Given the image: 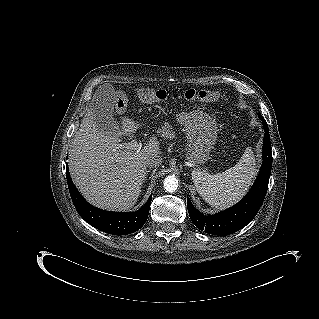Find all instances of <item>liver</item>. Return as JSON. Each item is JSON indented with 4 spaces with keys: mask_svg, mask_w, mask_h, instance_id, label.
I'll return each mask as SVG.
<instances>
[{
    "mask_svg": "<svg viewBox=\"0 0 319 319\" xmlns=\"http://www.w3.org/2000/svg\"><path fill=\"white\" fill-rule=\"evenodd\" d=\"M121 120L116 131L100 130L90 105L69 151L70 175L80 193L94 206L113 211L136 204L148 172L146 160L161 154L156 137L139 150L118 149L122 137L140 126L127 117Z\"/></svg>",
    "mask_w": 319,
    "mask_h": 319,
    "instance_id": "6515ba94",
    "label": "liver"
}]
</instances>
